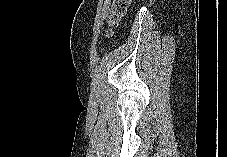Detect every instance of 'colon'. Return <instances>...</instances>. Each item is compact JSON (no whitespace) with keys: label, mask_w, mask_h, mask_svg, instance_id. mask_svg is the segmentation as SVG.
Wrapping results in <instances>:
<instances>
[{"label":"colon","mask_w":227,"mask_h":157,"mask_svg":"<svg viewBox=\"0 0 227 157\" xmlns=\"http://www.w3.org/2000/svg\"><path fill=\"white\" fill-rule=\"evenodd\" d=\"M131 0H114L113 10L107 21L106 34H111L112 28L116 26L125 15Z\"/></svg>","instance_id":"colon-1"}]
</instances>
